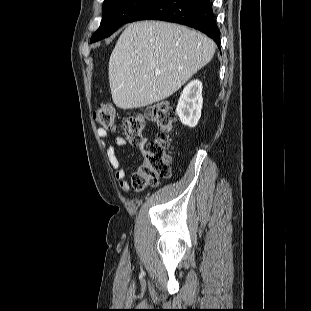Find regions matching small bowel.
<instances>
[{"mask_svg":"<svg viewBox=\"0 0 311 311\" xmlns=\"http://www.w3.org/2000/svg\"><path fill=\"white\" fill-rule=\"evenodd\" d=\"M96 134L100 139L102 148L107 156L108 162L110 166L113 168L115 171V178L119 183V187L123 192H129L131 189V183L130 181L126 178V172L125 170L121 167L119 158L116 153V148L115 146H124L126 145V140L118 136L115 138L114 142L110 141L108 139V135L105 129L103 128H98L96 130ZM140 152L144 154L147 146V139L143 138L140 143L137 144Z\"/></svg>","mask_w":311,"mask_h":311,"instance_id":"small-bowel-1","label":"small bowel"}]
</instances>
